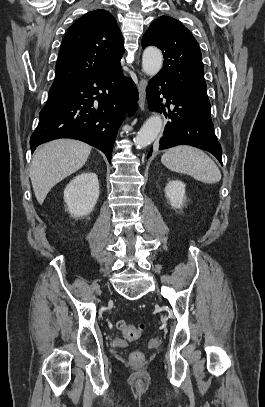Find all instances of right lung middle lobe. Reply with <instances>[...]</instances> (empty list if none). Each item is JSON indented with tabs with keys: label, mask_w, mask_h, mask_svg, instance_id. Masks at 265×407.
Masks as SVG:
<instances>
[{
	"label": "right lung middle lobe",
	"mask_w": 265,
	"mask_h": 407,
	"mask_svg": "<svg viewBox=\"0 0 265 407\" xmlns=\"http://www.w3.org/2000/svg\"><path fill=\"white\" fill-rule=\"evenodd\" d=\"M65 89H67L65 86H52L49 90L48 96L63 92Z\"/></svg>",
	"instance_id": "dd1d6c3e"
}]
</instances>
